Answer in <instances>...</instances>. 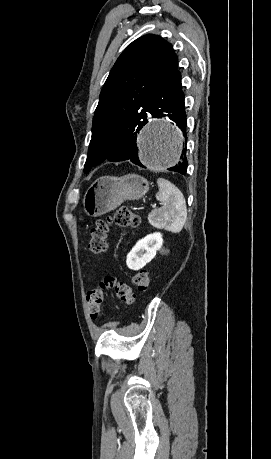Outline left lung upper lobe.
<instances>
[{"mask_svg": "<svg viewBox=\"0 0 271 459\" xmlns=\"http://www.w3.org/2000/svg\"><path fill=\"white\" fill-rule=\"evenodd\" d=\"M177 69L172 45L157 35L142 36L122 52L100 93L84 173L106 160L120 130L148 110L151 90Z\"/></svg>", "mask_w": 271, "mask_h": 459, "instance_id": "1", "label": "left lung upper lobe"}]
</instances>
